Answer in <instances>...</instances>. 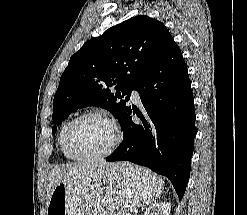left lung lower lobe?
<instances>
[{"mask_svg":"<svg viewBox=\"0 0 247 215\" xmlns=\"http://www.w3.org/2000/svg\"><path fill=\"white\" fill-rule=\"evenodd\" d=\"M144 106L132 121L130 108L120 125L121 145L106 161L127 160L168 177L181 199L190 177L195 110L187 66L174 42L135 87Z\"/></svg>","mask_w":247,"mask_h":215,"instance_id":"left-lung-lower-lobe-1","label":"left lung lower lobe"}]
</instances>
